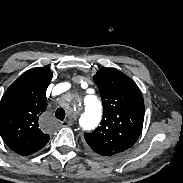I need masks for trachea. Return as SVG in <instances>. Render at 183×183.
Segmentation results:
<instances>
[{
    "instance_id": "obj_1",
    "label": "trachea",
    "mask_w": 183,
    "mask_h": 183,
    "mask_svg": "<svg viewBox=\"0 0 183 183\" xmlns=\"http://www.w3.org/2000/svg\"><path fill=\"white\" fill-rule=\"evenodd\" d=\"M56 117L63 121L65 118V110L63 108H58L55 112Z\"/></svg>"
}]
</instances>
